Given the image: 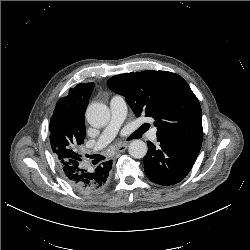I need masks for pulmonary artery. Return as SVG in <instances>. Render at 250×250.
I'll list each match as a JSON object with an SVG mask.
<instances>
[{
	"mask_svg": "<svg viewBox=\"0 0 250 250\" xmlns=\"http://www.w3.org/2000/svg\"><path fill=\"white\" fill-rule=\"evenodd\" d=\"M110 111V122L97 140L95 149H101L108 145L115 138L121 127V124L125 120L127 115V105L123 96L115 95L111 98ZM150 139L153 141L157 139L156 128H153L150 131Z\"/></svg>",
	"mask_w": 250,
	"mask_h": 250,
	"instance_id": "obj_1",
	"label": "pulmonary artery"
}]
</instances>
